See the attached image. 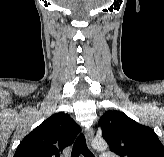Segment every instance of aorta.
Listing matches in <instances>:
<instances>
[{
    "label": "aorta",
    "mask_w": 164,
    "mask_h": 157,
    "mask_svg": "<svg viewBox=\"0 0 164 157\" xmlns=\"http://www.w3.org/2000/svg\"><path fill=\"white\" fill-rule=\"evenodd\" d=\"M92 147L104 151L107 149V143L103 139H97L92 142Z\"/></svg>",
    "instance_id": "762f6f07"
}]
</instances>
